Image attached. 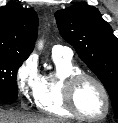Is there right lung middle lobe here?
<instances>
[{
    "label": "right lung middle lobe",
    "instance_id": "dd1d6c3e",
    "mask_svg": "<svg viewBox=\"0 0 118 123\" xmlns=\"http://www.w3.org/2000/svg\"><path fill=\"white\" fill-rule=\"evenodd\" d=\"M26 58L0 54V100L18 98L16 75Z\"/></svg>",
    "mask_w": 118,
    "mask_h": 123
}]
</instances>
